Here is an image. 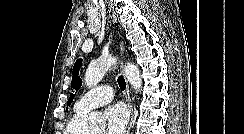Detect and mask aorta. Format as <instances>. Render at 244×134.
Returning a JSON list of instances; mask_svg holds the SVG:
<instances>
[{
  "instance_id": "obj_1",
  "label": "aorta",
  "mask_w": 244,
  "mask_h": 134,
  "mask_svg": "<svg viewBox=\"0 0 244 134\" xmlns=\"http://www.w3.org/2000/svg\"><path fill=\"white\" fill-rule=\"evenodd\" d=\"M116 58L112 56L100 57L99 59L91 62L85 73V83L88 87L96 86L105 73L116 64ZM125 75L136 91L142 88V79L139 68L133 63H127L124 67ZM90 125H103L104 117L99 112H91L88 116Z\"/></svg>"
}]
</instances>
